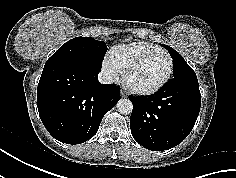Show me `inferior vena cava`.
<instances>
[{
    "label": "inferior vena cava",
    "instance_id": "inferior-vena-cava-1",
    "mask_svg": "<svg viewBox=\"0 0 236 178\" xmlns=\"http://www.w3.org/2000/svg\"><path fill=\"white\" fill-rule=\"evenodd\" d=\"M98 80L102 84H110V83H113L114 81L112 74L107 70L101 71L99 73Z\"/></svg>",
    "mask_w": 236,
    "mask_h": 178
}]
</instances>
